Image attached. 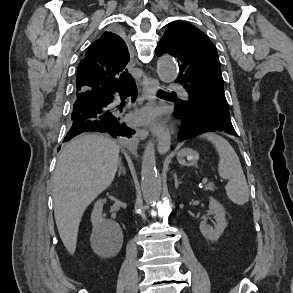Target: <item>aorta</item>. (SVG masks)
Listing matches in <instances>:
<instances>
[{"label": "aorta", "instance_id": "762f6f07", "mask_svg": "<svg viewBox=\"0 0 293 293\" xmlns=\"http://www.w3.org/2000/svg\"><path fill=\"white\" fill-rule=\"evenodd\" d=\"M157 72L162 81L173 82L177 77L175 60L169 55L160 57L157 62ZM141 190L147 203H154L160 199L161 181L156 169L155 143L151 140L146 144L142 156Z\"/></svg>", "mask_w": 293, "mask_h": 293}]
</instances>
